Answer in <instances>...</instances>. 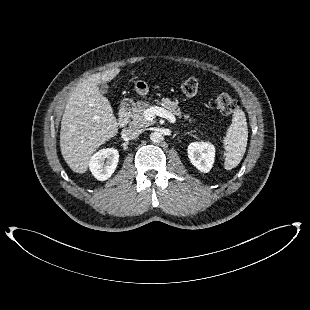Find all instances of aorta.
I'll return each instance as SVG.
<instances>
[{
  "instance_id": "762f6f07",
  "label": "aorta",
  "mask_w": 310,
  "mask_h": 310,
  "mask_svg": "<svg viewBox=\"0 0 310 310\" xmlns=\"http://www.w3.org/2000/svg\"><path fill=\"white\" fill-rule=\"evenodd\" d=\"M150 140L152 141V143L158 144L163 141V136L159 132H153L150 135Z\"/></svg>"
}]
</instances>
